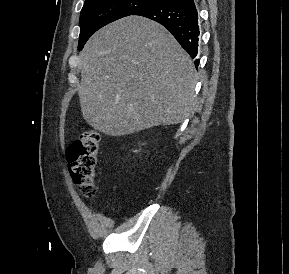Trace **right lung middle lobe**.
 <instances>
[{
    "label": "right lung middle lobe",
    "instance_id": "1",
    "mask_svg": "<svg viewBox=\"0 0 289 274\" xmlns=\"http://www.w3.org/2000/svg\"><path fill=\"white\" fill-rule=\"evenodd\" d=\"M159 0H86L80 14L78 50L101 27L122 17L133 15Z\"/></svg>",
    "mask_w": 289,
    "mask_h": 274
}]
</instances>
